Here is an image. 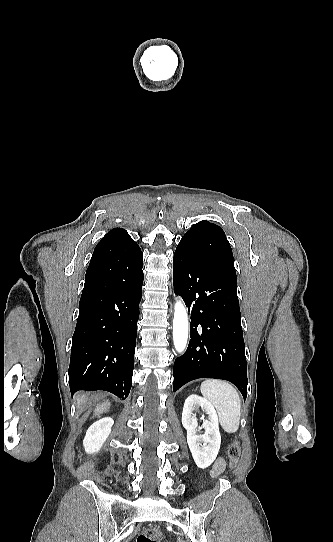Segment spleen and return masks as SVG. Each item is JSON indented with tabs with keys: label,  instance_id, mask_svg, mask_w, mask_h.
<instances>
[{
	"label": "spleen",
	"instance_id": "spleen-1",
	"mask_svg": "<svg viewBox=\"0 0 333 542\" xmlns=\"http://www.w3.org/2000/svg\"><path fill=\"white\" fill-rule=\"evenodd\" d=\"M200 390L202 396L216 408L224 432H237L241 420V400L236 388L222 380H205Z\"/></svg>",
	"mask_w": 333,
	"mask_h": 542
}]
</instances>
